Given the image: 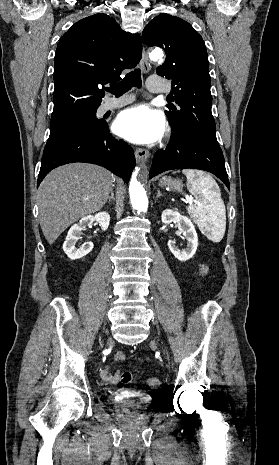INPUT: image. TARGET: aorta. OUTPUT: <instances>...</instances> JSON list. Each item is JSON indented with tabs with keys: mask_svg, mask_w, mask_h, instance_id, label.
Here are the masks:
<instances>
[{
	"mask_svg": "<svg viewBox=\"0 0 279 465\" xmlns=\"http://www.w3.org/2000/svg\"><path fill=\"white\" fill-rule=\"evenodd\" d=\"M151 59L159 60L163 57V53L161 50H154L150 54ZM139 168H136L132 174V178L129 185V193H130V201L132 208L136 210L138 213L146 212L148 208V198L146 195V191L143 188L142 184L137 180Z\"/></svg>",
	"mask_w": 279,
	"mask_h": 465,
	"instance_id": "1",
	"label": "aorta"
}]
</instances>
